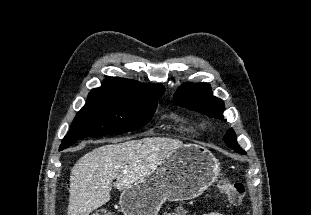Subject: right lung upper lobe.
Returning a JSON list of instances; mask_svg holds the SVG:
<instances>
[{
  "label": "right lung upper lobe",
  "mask_w": 311,
  "mask_h": 215,
  "mask_svg": "<svg viewBox=\"0 0 311 215\" xmlns=\"http://www.w3.org/2000/svg\"><path fill=\"white\" fill-rule=\"evenodd\" d=\"M161 84L150 85L118 77H108L101 87L93 89L89 95H110L138 100L159 99L164 93Z\"/></svg>",
  "instance_id": "obj_1"
}]
</instances>
